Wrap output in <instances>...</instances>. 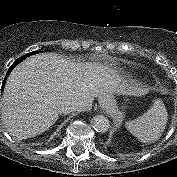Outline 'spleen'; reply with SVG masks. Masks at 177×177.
<instances>
[{
  "instance_id": "obj_1",
  "label": "spleen",
  "mask_w": 177,
  "mask_h": 177,
  "mask_svg": "<svg viewBox=\"0 0 177 177\" xmlns=\"http://www.w3.org/2000/svg\"><path fill=\"white\" fill-rule=\"evenodd\" d=\"M168 113L164 103L157 99L142 116L126 122L127 130L143 143L157 141L165 130Z\"/></svg>"
}]
</instances>
